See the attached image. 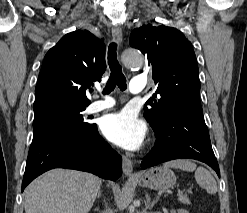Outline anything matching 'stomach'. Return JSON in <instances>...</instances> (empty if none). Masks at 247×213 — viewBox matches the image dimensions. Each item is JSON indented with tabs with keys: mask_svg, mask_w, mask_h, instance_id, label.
I'll list each match as a JSON object with an SVG mask.
<instances>
[{
	"mask_svg": "<svg viewBox=\"0 0 247 213\" xmlns=\"http://www.w3.org/2000/svg\"><path fill=\"white\" fill-rule=\"evenodd\" d=\"M137 183L146 188L165 190L176 183L175 174L165 167H154L141 174Z\"/></svg>",
	"mask_w": 247,
	"mask_h": 213,
	"instance_id": "1",
	"label": "stomach"
}]
</instances>
